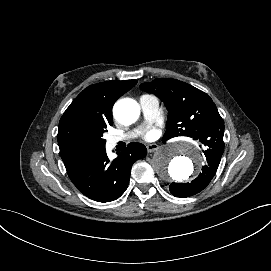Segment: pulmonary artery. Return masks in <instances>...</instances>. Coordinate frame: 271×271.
I'll return each mask as SVG.
<instances>
[{"label": "pulmonary artery", "mask_w": 271, "mask_h": 271, "mask_svg": "<svg viewBox=\"0 0 271 271\" xmlns=\"http://www.w3.org/2000/svg\"><path fill=\"white\" fill-rule=\"evenodd\" d=\"M139 104L145 118V123L149 124L155 121L160 111L158 98L152 95H142L139 99ZM139 131L140 129H136L127 133H118L106 136V150L110 151L120 141H126L135 138Z\"/></svg>", "instance_id": "obj_1"}]
</instances>
